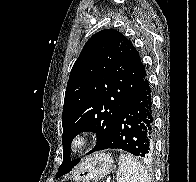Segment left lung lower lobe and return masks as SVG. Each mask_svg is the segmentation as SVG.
Wrapping results in <instances>:
<instances>
[{"label": "left lung lower lobe", "mask_w": 196, "mask_h": 182, "mask_svg": "<svg viewBox=\"0 0 196 182\" xmlns=\"http://www.w3.org/2000/svg\"><path fill=\"white\" fill-rule=\"evenodd\" d=\"M153 128L151 89L145 78L118 113L105 141L89 153L121 149L138 157L150 158L153 154ZM69 159L70 155H67L66 161Z\"/></svg>", "instance_id": "1"}]
</instances>
